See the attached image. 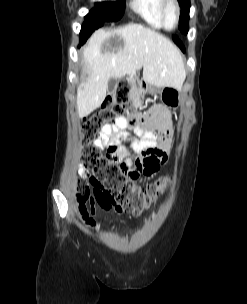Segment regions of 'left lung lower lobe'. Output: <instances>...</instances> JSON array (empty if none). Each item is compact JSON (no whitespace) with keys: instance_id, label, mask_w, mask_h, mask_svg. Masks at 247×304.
<instances>
[{"instance_id":"left-lung-lower-lobe-1","label":"left lung lower lobe","mask_w":247,"mask_h":304,"mask_svg":"<svg viewBox=\"0 0 247 304\" xmlns=\"http://www.w3.org/2000/svg\"><path fill=\"white\" fill-rule=\"evenodd\" d=\"M174 42L180 47V49L184 52L185 48L184 45L182 44V42L179 40V38L177 36H173L172 37Z\"/></svg>"}]
</instances>
